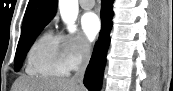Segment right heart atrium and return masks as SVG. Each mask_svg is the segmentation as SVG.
I'll list each match as a JSON object with an SVG mask.
<instances>
[{
	"mask_svg": "<svg viewBox=\"0 0 173 91\" xmlns=\"http://www.w3.org/2000/svg\"><path fill=\"white\" fill-rule=\"evenodd\" d=\"M59 40L69 70L78 69L90 54V44L81 34H63Z\"/></svg>",
	"mask_w": 173,
	"mask_h": 91,
	"instance_id": "obj_1",
	"label": "right heart atrium"
}]
</instances>
